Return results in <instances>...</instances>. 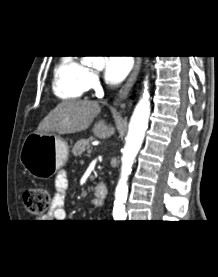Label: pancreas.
<instances>
[{"instance_id":"pancreas-1","label":"pancreas","mask_w":218,"mask_h":277,"mask_svg":"<svg viewBox=\"0 0 218 277\" xmlns=\"http://www.w3.org/2000/svg\"><path fill=\"white\" fill-rule=\"evenodd\" d=\"M90 139H82L76 142V144L73 146L72 153L74 156H79L83 152L87 150V152H90Z\"/></svg>"}]
</instances>
